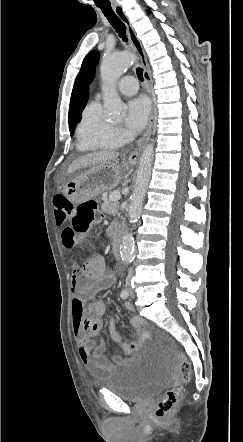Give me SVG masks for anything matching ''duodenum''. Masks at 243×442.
Returning <instances> with one entry per match:
<instances>
[{"mask_svg":"<svg viewBox=\"0 0 243 442\" xmlns=\"http://www.w3.org/2000/svg\"><path fill=\"white\" fill-rule=\"evenodd\" d=\"M121 240H122V234L120 231H117L114 233V252L117 256H120V253L122 251L121 246Z\"/></svg>","mask_w":243,"mask_h":442,"instance_id":"duodenum-1","label":"duodenum"}]
</instances>
